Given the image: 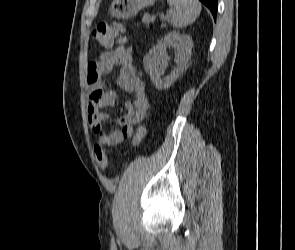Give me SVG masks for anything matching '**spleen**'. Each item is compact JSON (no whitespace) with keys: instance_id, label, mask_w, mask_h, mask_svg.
Segmentation results:
<instances>
[{"instance_id":"spleen-1","label":"spleen","mask_w":295,"mask_h":250,"mask_svg":"<svg viewBox=\"0 0 295 250\" xmlns=\"http://www.w3.org/2000/svg\"><path fill=\"white\" fill-rule=\"evenodd\" d=\"M173 7L171 24L175 28L186 27L200 15L201 4L198 0H167Z\"/></svg>"}]
</instances>
